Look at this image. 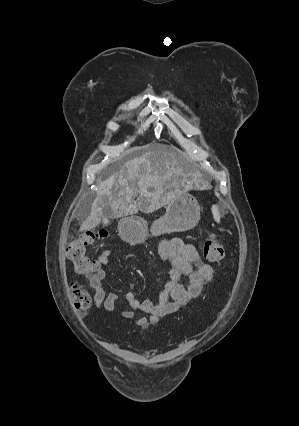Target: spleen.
<instances>
[{"mask_svg":"<svg viewBox=\"0 0 299 426\" xmlns=\"http://www.w3.org/2000/svg\"><path fill=\"white\" fill-rule=\"evenodd\" d=\"M211 211H212L214 220L217 223H220L221 215H220L218 206L217 205H212Z\"/></svg>","mask_w":299,"mask_h":426,"instance_id":"3e777b00","label":"spleen"}]
</instances>
